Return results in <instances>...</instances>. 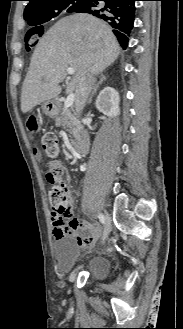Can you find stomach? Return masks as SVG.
<instances>
[{"mask_svg": "<svg viewBox=\"0 0 183 329\" xmlns=\"http://www.w3.org/2000/svg\"><path fill=\"white\" fill-rule=\"evenodd\" d=\"M42 110L46 115H54L58 111V103L56 99L45 102L42 106Z\"/></svg>", "mask_w": 183, "mask_h": 329, "instance_id": "obj_1", "label": "stomach"}]
</instances>
